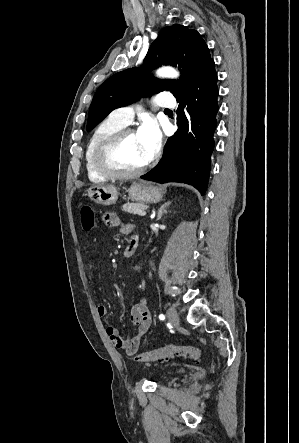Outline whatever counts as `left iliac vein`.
<instances>
[{"mask_svg":"<svg viewBox=\"0 0 299 443\" xmlns=\"http://www.w3.org/2000/svg\"><path fill=\"white\" fill-rule=\"evenodd\" d=\"M167 318H168V320L170 321V323L172 325H174V326L179 325V322H180L179 315H178V313H177L175 308L171 307V308L168 309V311H167Z\"/></svg>","mask_w":299,"mask_h":443,"instance_id":"4c4485c4","label":"left iliac vein"}]
</instances>
